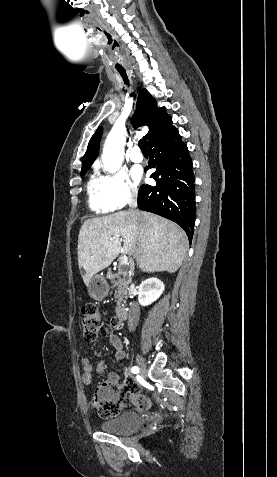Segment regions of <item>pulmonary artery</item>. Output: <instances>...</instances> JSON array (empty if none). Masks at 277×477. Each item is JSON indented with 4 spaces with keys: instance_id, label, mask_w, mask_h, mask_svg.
I'll list each match as a JSON object with an SVG mask.
<instances>
[{
    "instance_id": "e3ab8cb5",
    "label": "pulmonary artery",
    "mask_w": 277,
    "mask_h": 477,
    "mask_svg": "<svg viewBox=\"0 0 277 477\" xmlns=\"http://www.w3.org/2000/svg\"><path fill=\"white\" fill-rule=\"evenodd\" d=\"M130 157L132 161L134 162H142L143 160V155L140 152V149L138 147H134L130 153Z\"/></svg>"
}]
</instances>
